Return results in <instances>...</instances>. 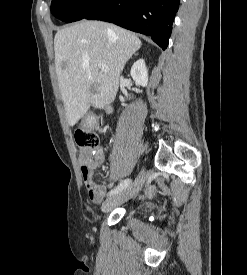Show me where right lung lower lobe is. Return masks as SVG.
I'll list each match as a JSON object with an SVG mask.
<instances>
[{
    "label": "right lung lower lobe",
    "instance_id": "98d812e1",
    "mask_svg": "<svg viewBox=\"0 0 247 275\" xmlns=\"http://www.w3.org/2000/svg\"><path fill=\"white\" fill-rule=\"evenodd\" d=\"M180 0H104L84 19L114 23L151 36L162 49L168 46Z\"/></svg>",
    "mask_w": 247,
    "mask_h": 275
}]
</instances>
